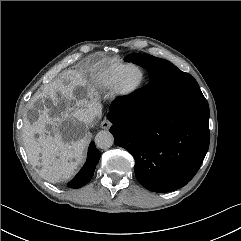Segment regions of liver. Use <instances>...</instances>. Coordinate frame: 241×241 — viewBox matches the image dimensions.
I'll use <instances>...</instances> for the list:
<instances>
[{"label": "liver", "instance_id": "obj_1", "mask_svg": "<svg viewBox=\"0 0 241 241\" xmlns=\"http://www.w3.org/2000/svg\"><path fill=\"white\" fill-rule=\"evenodd\" d=\"M68 78L69 84L57 79L49 84L48 92L37 95L30 103L36 119L32 123L24 119L28 159L33 167H40L39 175L50 183L71 178L83 162L88 138L82 112L97 103L98 94L93 88L83 97L75 94L77 87L86 85L79 73L73 72Z\"/></svg>", "mask_w": 241, "mask_h": 241}]
</instances>
